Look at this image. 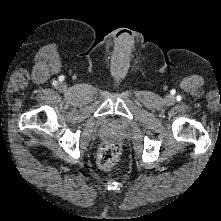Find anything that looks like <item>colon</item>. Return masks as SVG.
<instances>
[{"label": "colon", "mask_w": 221, "mask_h": 221, "mask_svg": "<svg viewBox=\"0 0 221 221\" xmlns=\"http://www.w3.org/2000/svg\"><path fill=\"white\" fill-rule=\"evenodd\" d=\"M120 148L117 144H109L102 148L98 155V165L104 170L113 169L119 159Z\"/></svg>", "instance_id": "obj_1"}]
</instances>
